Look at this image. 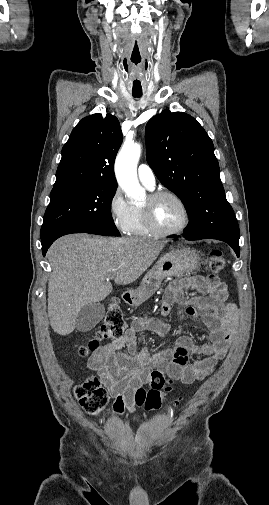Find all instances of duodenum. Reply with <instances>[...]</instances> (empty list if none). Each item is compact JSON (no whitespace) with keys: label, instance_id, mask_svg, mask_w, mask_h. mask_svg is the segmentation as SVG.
I'll list each match as a JSON object with an SVG mask.
<instances>
[{"label":"duodenum","instance_id":"410a0bca","mask_svg":"<svg viewBox=\"0 0 269 505\" xmlns=\"http://www.w3.org/2000/svg\"><path fill=\"white\" fill-rule=\"evenodd\" d=\"M122 299L127 304H133L135 302V296L131 292H126L122 295Z\"/></svg>","mask_w":269,"mask_h":505}]
</instances>
